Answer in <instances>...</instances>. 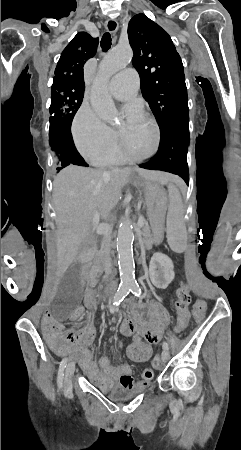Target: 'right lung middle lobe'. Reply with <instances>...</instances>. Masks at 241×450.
<instances>
[{
	"mask_svg": "<svg viewBox=\"0 0 241 450\" xmlns=\"http://www.w3.org/2000/svg\"><path fill=\"white\" fill-rule=\"evenodd\" d=\"M51 88L49 139L53 167L60 171L70 164L65 143L67 140H73L70 128L82 103L84 88L70 84H53Z\"/></svg>",
	"mask_w": 241,
	"mask_h": 450,
	"instance_id": "1",
	"label": "right lung middle lobe"
}]
</instances>
